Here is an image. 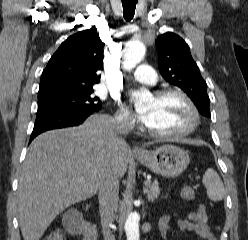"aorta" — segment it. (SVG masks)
I'll return each mask as SVG.
<instances>
[{
    "label": "aorta",
    "instance_id": "aorta-1",
    "mask_svg": "<svg viewBox=\"0 0 248 240\" xmlns=\"http://www.w3.org/2000/svg\"><path fill=\"white\" fill-rule=\"evenodd\" d=\"M146 48L139 41H132L127 44L123 50L124 65L127 69L134 68L140 63L145 55ZM132 97L135 100V105H141L143 101L150 97L147 91H134ZM125 231L127 240H139V216L133 212L127 216L125 222Z\"/></svg>",
    "mask_w": 248,
    "mask_h": 240
}]
</instances>
